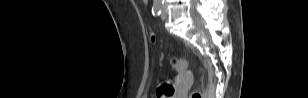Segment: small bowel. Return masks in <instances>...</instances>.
Returning <instances> with one entry per match:
<instances>
[{"label":"small bowel","mask_w":308,"mask_h":98,"mask_svg":"<svg viewBox=\"0 0 308 98\" xmlns=\"http://www.w3.org/2000/svg\"><path fill=\"white\" fill-rule=\"evenodd\" d=\"M144 3L146 4V3H147V1L145 0V1H144Z\"/></svg>","instance_id":"c3829d8e"}]
</instances>
